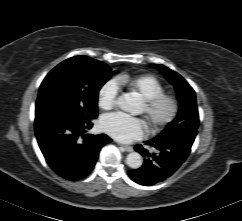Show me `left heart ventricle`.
Returning a JSON list of instances; mask_svg holds the SVG:
<instances>
[{
	"label": "left heart ventricle",
	"mask_w": 242,
	"mask_h": 221,
	"mask_svg": "<svg viewBox=\"0 0 242 221\" xmlns=\"http://www.w3.org/2000/svg\"><path fill=\"white\" fill-rule=\"evenodd\" d=\"M143 110V108H142ZM166 112V108L165 107H161L158 112H157V115L158 116H162L164 113Z\"/></svg>",
	"instance_id": "obj_1"
}]
</instances>
